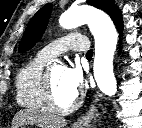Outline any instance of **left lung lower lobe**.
I'll return each mask as SVG.
<instances>
[{
	"label": "left lung lower lobe",
	"mask_w": 142,
	"mask_h": 128,
	"mask_svg": "<svg viewBox=\"0 0 142 128\" xmlns=\"http://www.w3.org/2000/svg\"><path fill=\"white\" fill-rule=\"evenodd\" d=\"M118 31L121 32L122 31V27L120 29H118Z\"/></svg>",
	"instance_id": "1"
}]
</instances>
